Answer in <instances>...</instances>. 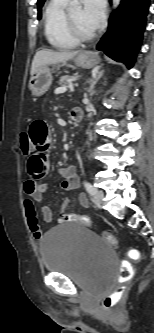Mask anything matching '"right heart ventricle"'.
Here are the masks:
<instances>
[{
  "instance_id": "e07e8e85",
  "label": "right heart ventricle",
  "mask_w": 154,
  "mask_h": 333,
  "mask_svg": "<svg viewBox=\"0 0 154 333\" xmlns=\"http://www.w3.org/2000/svg\"><path fill=\"white\" fill-rule=\"evenodd\" d=\"M67 0H49L43 13L44 34L48 43L55 49L68 50L77 47L65 22Z\"/></svg>"
}]
</instances>
